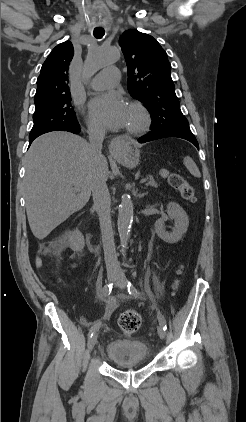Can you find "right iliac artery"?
<instances>
[{
	"instance_id": "right-iliac-artery-1",
	"label": "right iliac artery",
	"mask_w": 246,
	"mask_h": 422,
	"mask_svg": "<svg viewBox=\"0 0 246 422\" xmlns=\"http://www.w3.org/2000/svg\"><path fill=\"white\" fill-rule=\"evenodd\" d=\"M112 288H113V284H112V283H110V284H106V285L103 287V290H102L103 295H104V296H109V295H110V293H111V291H112ZM100 325H101V322H97V323H95V324L91 327V329L89 330L88 337H92V336H93V334H94V333H95V332L99 329Z\"/></svg>"
}]
</instances>
